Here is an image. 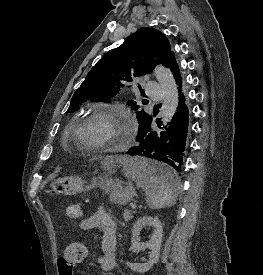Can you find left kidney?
<instances>
[{
	"label": "left kidney",
	"mask_w": 263,
	"mask_h": 275,
	"mask_svg": "<svg viewBox=\"0 0 263 275\" xmlns=\"http://www.w3.org/2000/svg\"><path fill=\"white\" fill-rule=\"evenodd\" d=\"M151 226L153 233L151 239L146 243L139 242L138 236L143 228ZM163 228L161 221L157 217L143 216L133 226L131 247L129 251L137 252L144 249H150L149 260L146 263H129V268L134 272L145 273L158 262L160 256Z\"/></svg>",
	"instance_id": "obj_1"
}]
</instances>
